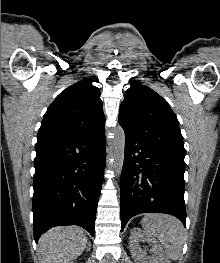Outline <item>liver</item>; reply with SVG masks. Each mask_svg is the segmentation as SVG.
<instances>
[{"label": "liver", "mask_w": 220, "mask_h": 263, "mask_svg": "<svg viewBox=\"0 0 220 263\" xmlns=\"http://www.w3.org/2000/svg\"><path fill=\"white\" fill-rule=\"evenodd\" d=\"M39 244L44 263H67L83 253L87 236L77 226L56 227L44 233Z\"/></svg>", "instance_id": "1"}]
</instances>
